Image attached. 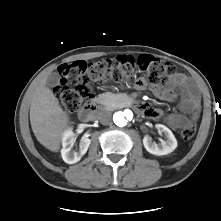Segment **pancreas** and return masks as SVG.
<instances>
[{
  "instance_id": "obj_1",
  "label": "pancreas",
  "mask_w": 221,
  "mask_h": 221,
  "mask_svg": "<svg viewBox=\"0 0 221 221\" xmlns=\"http://www.w3.org/2000/svg\"><path fill=\"white\" fill-rule=\"evenodd\" d=\"M99 98H100L101 104L109 109H116V108L121 107L122 105V98L118 94L106 92V93L101 94Z\"/></svg>"
}]
</instances>
